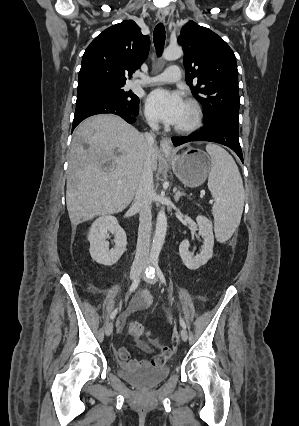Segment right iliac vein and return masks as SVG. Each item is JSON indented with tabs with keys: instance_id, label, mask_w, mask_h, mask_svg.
<instances>
[{
	"instance_id": "63e3f726",
	"label": "right iliac vein",
	"mask_w": 299,
	"mask_h": 426,
	"mask_svg": "<svg viewBox=\"0 0 299 426\" xmlns=\"http://www.w3.org/2000/svg\"><path fill=\"white\" fill-rule=\"evenodd\" d=\"M143 269V265H138L132 268L130 272L131 279L135 280L139 277L141 271ZM113 332V322H109L105 327V333L107 336H110Z\"/></svg>"
}]
</instances>
